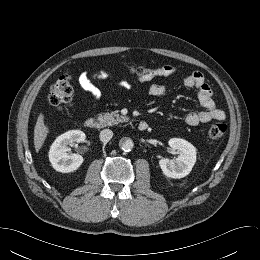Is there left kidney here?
Returning <instances> with one entry per match:
<instances>
[{
    "label": "left kidney",
    "instance_id": "obj_1",
    "mask_svg": "<svg viewBox=\"0 0 260 260\" xmlns=\"http://www.w3.org/2000/svg\"><path fill=\"white\" fill-rule=\"evenodd\" d=\"M171 150L179 152L176 160L163 158L159 166L163 174L170 178H183L187 176L196 162V148L188 141L180 138H172L168 141Z\"/></svg>",
    "mask_w": 260,
    "mask_h": 260
}]
</instances>
